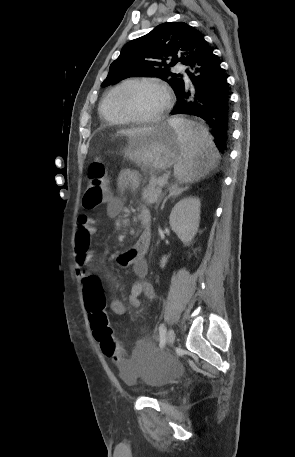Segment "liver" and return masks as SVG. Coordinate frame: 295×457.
I'll return each mask as SVG.
<instances>
[{
	"label": "liver",
	"mask_w": 295,
	"mask_h": 457,
	"mask_svg": "<svg viewBox=\"0 0 295 457\" xmlns=\"http://www.w3.org/2000/svg\"><path fill=\"white\" fill-rule=\"evenodd\" d=\"M156 127H142V128H131V129H126V130H121L117 132V135H125L127 136L130 140L146 135L150 132H152Z\"/></svg>",
	"instance_id": "1"
}]
</instances>
